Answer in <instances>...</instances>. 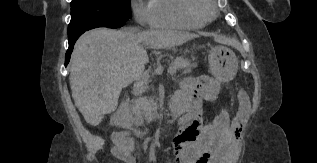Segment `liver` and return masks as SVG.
I'll use <instances>...</instances> for the list:
<instances>
[{
    "mask_svg": "<svg viewBox=\"0 0 317 163\" xmlns=\"http://www.w3.org/2000/svg\"><path fill=\"white\" fill-rule=\"evenodd\" d=\"M188 32L96 28L76 42L70 61L72 98L85 121L97 126L114 112L123 88L142 77L145 46L168 49L194 39Z\"/></svg>",
    "mask_w": 317,
    "mask_h": 163,
    "instance_id": "obj_1",
    "label": "liver"
}]
</instances>
